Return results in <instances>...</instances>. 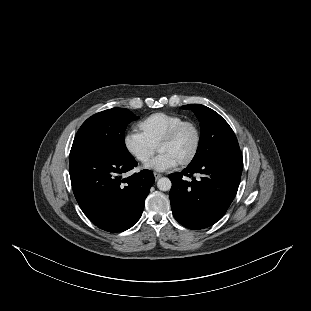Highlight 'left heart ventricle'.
Wrapping results in <instances>:
<instances>
[{"label":"left heart ventricle","mask_w":311,"mask_h":311,"mask_svg":"<svg viewBox=\"0 0 311 311\" xmlns=\"http://www.w3.org/2000/svg\"><path fill=\"white\" fill-rule=\"evenodd\" d=\"M196 142L197 130L193 124H188L181 130L175 141L162 145L158 151L172 155L181 163L193 153Z\"/></svg>","instance_id":"left-heart-ventricle-1"}]
</instances>
